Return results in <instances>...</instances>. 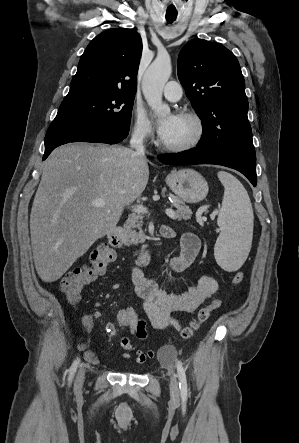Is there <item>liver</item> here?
<instances>
[{
    "label": "liver",
    "instance_id": "1",
    "mask_svg": "<svg viewBox=\"0 0 299 443\" xmlns=\"http://www.w3.org/2000/svg\"><path fill=\"white\" fill-rule=\"evenodd\" d=\"M146 157L122 146L71 143L44 162L30 215L36 271L54 282L117 225L124 207L144 191ZM105 200L95 207L92 201Z\"/></svg>",
    "mask_w": 299,
    "mask_h": 443
}]
</instances>
